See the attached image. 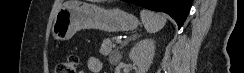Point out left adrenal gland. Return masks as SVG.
I'll return each mask as SVG.
<instances>
[{"instance_id":"left-adrenal-gland-1","label":"left adrenal gland","mask_w":244,"mask_h":73,"mask_svg":"<svg viewBox=\"0 0 244 73\" xmlns=\"http://www.w3.org/2000/svg\"><path fill=\"white\" fill-rule=\"evenodd\" d=\"M141 35H139V34H134V35H132L131 37H129L127 40H125L123 43H122V45H121V47L120 48H122V47H124L125 45H127L128 43H129V41H131V40H135V39H137L138 37H140Z\"/></svg>"}]
</instances>
